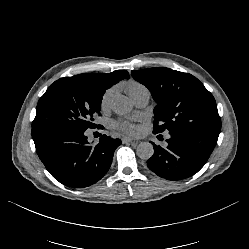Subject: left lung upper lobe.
Masks as SVG:
<instances>
[{"mask_svg": "<svg viewBox=\"0 0 249 249\" xmlns=\"http://www.w3.org/2000/svg\"><path fill=\"white\" fill-rule=\"evenodd\" d=\"M157 103L154 129L196 128L219 132L221 119L213 95L194 76L165 67L132 70Z\"/></svg>", "mask_w": 249, "mask_h": 249, "instance_id": "5c2ea615", "label": "left lung upper lobe"}]
</instances>
